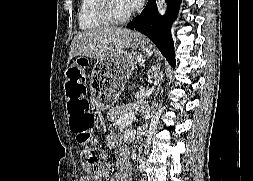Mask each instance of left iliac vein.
I'll use <instances>...</instances> for the list:
<instances>
[{
	"mask_svg": "<svg viewBox=\"0 0 253 181\" xmlns=\"http://www.w3.org/2000/svg\"><path fill=\"white\" fill-rule=\"evenodd\" d=\"M140 181H147L146 176L144 175V176L141 178V180H140Z\"/></svg>",
	"mask_w": 253,
	"mask_h": 181,
	"instance_id": "4c4485c4",
	"label": "left iliac vein"
}]
</instances>
